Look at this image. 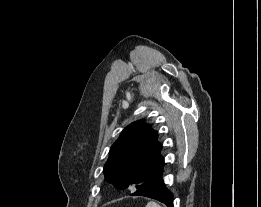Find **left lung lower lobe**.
<instances>
[{"mask_svg": "<svg viewBox=\"0 0 261 207\" xmlns=\"http://www.w3.org/2000/svg\"><path fill=\"white\" fill-rule=\"evenodd\" d=\"M131 196L152 198L164 203L167 207H174L173 195L167 189L162 179V173L136 187L135 192Z\"/></svg>", "mask_w": 261, "mask_h": 207, "instance_id": "1", "label": "left lung lower lobe"}]
</instances>
